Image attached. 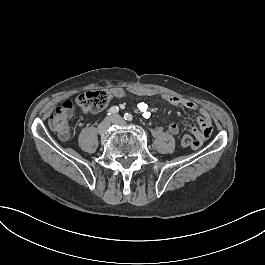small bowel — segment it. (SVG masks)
I'll return each instance as SVG.
<instances>
[{
	"label": "small bowel",
	"instance_id": "1",
	"mask_svg": "<svg viewBox=\"0 0 265 265\" xmlns=\"http://www.w3.org/2000/svg\"><path fill=\"white\" fill-rule=\"evenodd\" d=\"M111 98H132V97H152L156 95V91L154 89L143 87V86H128V87H111L110 90ZM162 99L173 107L184 108L190 111H193L197 115L196 125H193L189 122H171L168 125V131L171 135H178L181 127L188 128L196 140L194 142L193 148L196 151H199L202 148L201 143L208 139L212 131V123L209 113L197 103L192 100L182 98L175 95L162 94Z\"/></svg>",
	"mask_w": 265,
	"mask_h": 265
}]
</instances>
